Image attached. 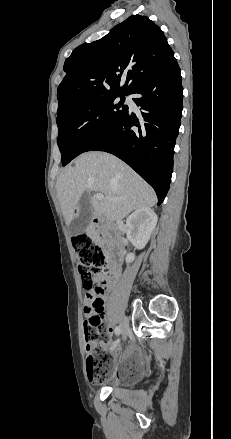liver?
Masks as SVG:
<instances>
[{
	"instance_id": "obj_1",
	"label": "liver",
	"mask_w": 231,
	"mask_h": 439,
	"mask_svg": "<svg viewBox=\"0 0 231 439\" xmlns=\"http://www.w3.org/2000/svg\"><path fill=\"white\" fill-rule=\"evenodd\" d=\"M59 175L56 183L66 224L73 218L85 190L104 195L99 201L92 199L94 210L110 221L120 220L132 211L153 207L157 197L133 169L117 157L105 152L83 153Z\"/></svg>"
}]
</instances>
